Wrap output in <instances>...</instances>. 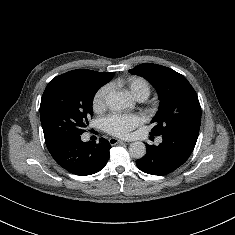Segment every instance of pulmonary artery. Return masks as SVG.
<instances>
[{"mask_svg":"<svg viewBox=\"0 0 235 235\" xmlns=\"http://www.w3.org/2000/svg\"><path fill=\"white\" fill-rule=\"evenodd\" d=\"M144 99H139V101H143ZM162 141V139L161 138H159L158 139V142H161Z\"/></svg>","mask_w":235,"mask_h":235,"instance_id":"obj_1","label":"pulmonary artery"}]
</instances>
